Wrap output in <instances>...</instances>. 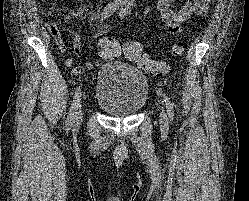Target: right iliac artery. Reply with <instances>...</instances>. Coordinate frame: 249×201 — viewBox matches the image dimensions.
Returning <instances> with one entry per match:
<instances>
[{
  "mask_svg": "<svg viewBox=\"0 0 249 201\" xmlns=\"http://www.w3.org/2000/svg\"><path fill=\"white\" fill-rule=\"evenodd\" d=\"M125 0H114L112 2H110L103 10L102 13V17L106 18L108 16H111L116 10L119 9L120 6H122L124 4ZM80 97H81V89L80 87L77 88L75 95H74V99L72 102V105L70 107L69 110V114L67 116L66 119V127L67 129H70L71 126L73 125V121L75 119L76 116V111L80 102Z\"/></svg>",
  "mask_w": 249,
  "mask_h": 201,
  "instance_id": "obj_1",
  "label": "right iliac artery"
}]
</instances>
